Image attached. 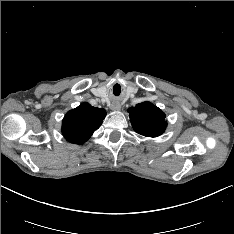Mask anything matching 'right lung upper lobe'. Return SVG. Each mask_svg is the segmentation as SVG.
I'll return each mask as SVG.
<instances>
[{
  "label": "right lung upper lobe",
  "mask_w": 234,
  "mask_h": 234,
  "mask_svg": "<svg viewBox=\"0 0 234 234\" xmlns=\"http://www.w3.org/2000/svg\"><path fill=\"white\" fill-rule=\"evenodd\" d=\"M105 116L104 109L84 102L65 115L62 122L63 136L71 143L83 144L100 127Z\"/></svg>",
  "instance_id": "1"
}]
</instances>
